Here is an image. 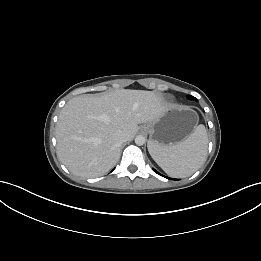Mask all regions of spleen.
Listing matches in <instances>:
<instances>
[{
	"mask_svg": "<svg viewBox=\"0 0 261 261\" xmlns=\"http://www.w3.org/2000/svg\"><path fill=\"white\" fill-rule=\"evenodd\" d=\"M208 138L204 125H198L184 140L162 147L151 141L148 150L154 161L171 177L182 178L192 175L204 162Z\"/></svg>",
	"mask_w": 261,
	"mask_h": 261,
	"instance_id": "3e777b00",
	"label": "spleen"
}]
</instances>
